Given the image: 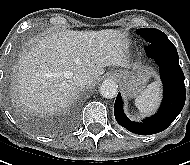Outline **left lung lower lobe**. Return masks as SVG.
<instances>
[{"label":"left lung lower lobe","instance_id":"left-lung-lower-lobe-1","mask_svg":"<svg viewBox=\"0 0 190 165\" xmlns=\"http://www.w3.org/2000/svg\"><path fill=\"white\" fill-rule=\"evenodd\" d=\"M149 58L155 60L163 83V100L158 112L142 122H133L124 114L121 94L115 101L114 114L117 122L139 135L159 133L175 120L185 103L184 74L179 65L176 47L168 38L160 39L145 48Z\"/></svg>","mask_w":190,"mask_h":165}]
</instances>
